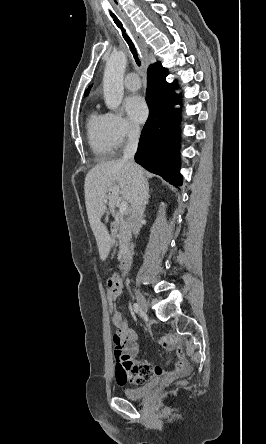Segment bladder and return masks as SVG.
I'll return each mask as SVG.
<instances>
[{
  "mask_svg": "<svg viewBox=\"0 0 266 444\" xmlns=\"http://www.w3.org/2000/svg\"><path fill=\"white\" fill-rule=\"evenodd\" d=\"M159 384L158 379H153L146 385L140 388H126L123 390V394L125 397L131 400H140L143 399L146 395L151 393L155 387Z\"/></svg>",
  "mask_w": 266,
  "mask_h": 444,
  "instance_id": "obj_1",
  "label": "bladder"
}]
</instances>
